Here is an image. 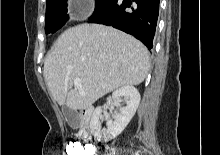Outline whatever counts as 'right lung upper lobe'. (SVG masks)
I'll list each match as a JSON object with an SVG mask.
<instances>
[{"instance_id": "cb5924a9", "label": "right lung upper lobe", "mask_w": 220, "mask_h": 155, "mask_svg": "<svg viewBox=\"0 0 220 155\" xmlns=\"http://www.w3.org/2000/svg\"><path fill=\"white\" fill-rule=\"evenodd\" d=\"M52 1H53V0H47V3H50V2H52ZM47 3H46V4H47Z\"/></svg>"}]
</instances>
